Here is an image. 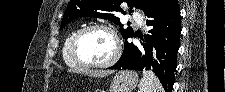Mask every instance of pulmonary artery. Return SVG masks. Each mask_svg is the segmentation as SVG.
Here are the masks:
<instances>
[{"instance_id": "e3ab8cb5", "label": "pulmonary artery", "mask_w": 225, "mask_h": 92, "mask_svg": "<svg viewBox=\"0 0 225 92\" xmlns=\"http://www.w3.org/2000/svg\"><path fill=\"white\" fill-rule=\"evenodd\" d=\"M133 19H134V21H135L139 26L144 25L145 19H144V17H143L142 14H140V13H138V12H137V13H134Z\"/></svg>"}]
</instances>
